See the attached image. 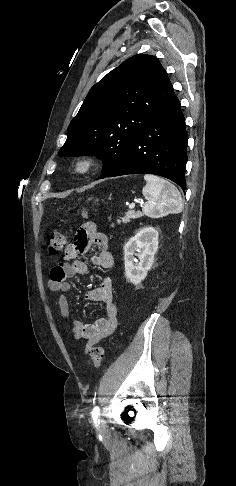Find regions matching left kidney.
Here are the masks:
<instances>
[{
    "mask_svg": "<svg viewBox=\"0 0 236 486\" xmlns=\"http://www.w3.org/2000/svg\"><path fill=\"white\" fill-rule=\"evenodd\" d=\"M158 243V231L153 227H145L125 244V276L129 282L138 285L145 279L154 262Z\"/></svg>",
    "mask_w": 236,
    "mask_h": 486,
    "instance_id": "obj_1",
    "label": "left kidney"
}]
</instances>
